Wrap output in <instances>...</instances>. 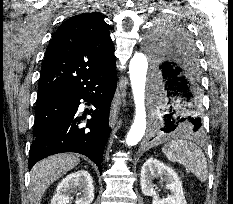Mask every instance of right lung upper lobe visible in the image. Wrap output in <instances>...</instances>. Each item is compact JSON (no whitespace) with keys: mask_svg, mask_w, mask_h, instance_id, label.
Instances as JSON below:
<instances>
[{"mask_svg":"<svg viewBox=\"0 0 233 204\" xmlns=\"http://www.w3.org/2000/svg\"><path fill=\"white\" fill-rule=\"evenodd\" d=\"M114 68V45L104 17L97 12L73 16L46 49L37 102L74 92Z\"/></svg>","mask_w":233,"mask_h":204,"instance_id":"right-lung-upper-lobe-1","label":"right lung upper lobe"}]
</instances>
